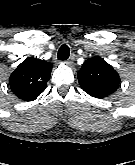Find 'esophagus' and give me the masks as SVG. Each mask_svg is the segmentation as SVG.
Instances as JSON below:
<instances>
[{
    "label": "esophagus",
    "mask_w": 135,
    "mask_h": 165,
    "mask_svg": "<svg viewBox=\"0 0 135 165\" xmlns=\"http://www.w3.org/2000/svg\"><path fill=\"white\" fill-rule=\"evenodd\" d=\"M74 60H75V55L72 54V55L69 57V59L65 61V63H66L67 65L70 66V65L73 64V61H74Z\"/></svg>",
    "instance_id": "34e87169"
}]
</instances>
